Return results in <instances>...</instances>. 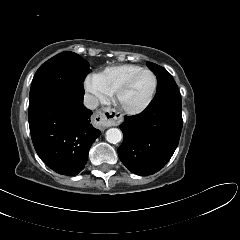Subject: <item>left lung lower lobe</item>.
<instances>
[{
  "label": "left lung lower lobe",
  "mask_w": 240,
  "mask_h": 240,
  "mask_svg": "<svg viewBox=\"0 0 240 240\" xmlns=\"http://www.w3.org/2000/svg\"><path fill=\"white\" fill-rule=\"evenodd\" d=\"M181 113V99H163L151 102L138 115L125 116L118 155L132 173L154 174L170 160L182 130Z\"/></svg>",
  "instance_id": "obj_1"
}]
</instances>
